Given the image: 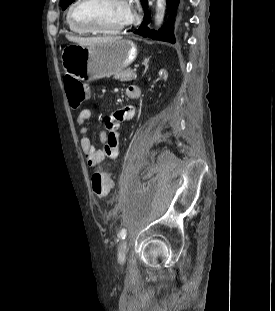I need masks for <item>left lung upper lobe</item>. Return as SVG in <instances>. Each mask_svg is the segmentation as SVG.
<instances>
[{"label": "left lung upper lobe", "mask_w": 275, "mask_h": 311, "mask_svg": "<svg viewBox=\"0 0 275 311\" xmlns=\"http://www.w3.org/2000/svg\"><path fill=\"white\" fill-rule=\"evenodd\" d=\"M74 0H60V6L62 7V9H66L69 4H71ZM143 0H141L142 2Z\"/></svg>", "instance_id": "obj_1"}]
</instances>
